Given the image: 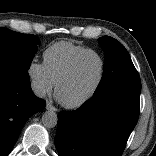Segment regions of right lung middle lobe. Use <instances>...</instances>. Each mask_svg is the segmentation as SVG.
<instances>
[{"label": "right lung middle lobe", "mask_w": 156, "mask_h": 156, "mask_svg": "<svg viewBox=\"0 0 156 156\" xmlns=\"http://www.w3.org/2000/svg\"><path fill=\"white\" fill-rule=\"evenodd\" d=\"M40 43L38 37L0 28V70L28 75Z\"/></svg>", "instance_id": "obj_1"}]
</instances>
